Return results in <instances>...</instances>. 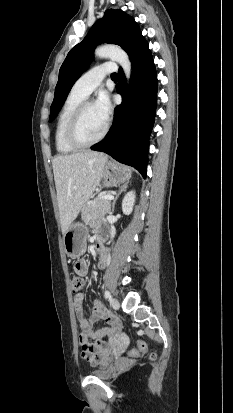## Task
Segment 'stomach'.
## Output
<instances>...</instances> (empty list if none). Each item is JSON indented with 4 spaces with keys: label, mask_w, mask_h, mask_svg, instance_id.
<instances>
[{
    "label": "stomach",
    "mask_w": 233,
    "mask_h": 413,
    "mask_svg": "<svg viewBox=\"0 0 233 413\" xmlns=\"http://www.w3.org/2000/svg\"><path fill=\"white\" fill-rule=\"evenodd\" d=\"M132 171L130 168L107 162L104 166L103 178L104 186L113 187L117 184L127 181L131 177ZM88 230L81 223H74L63 235V243L67 256L78 258L85 252V240Z\"/></svg>",
    "instance_id": "stomach-1"
}]
</instances>
